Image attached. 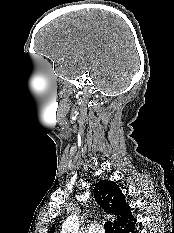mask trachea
<instances>
[{"mask_svg":"<svg viewBox=\"0 0 174 233\" xmlns=\"http://www.w3.org/2000/svg\"><path fill=\"white\" fill-rule=\"evenodd\" d=\"M105 232L106 233H113V226L111 221H107L104 224Z\"/></svg>","mask_w":174,"mask_h":233,"instance_id":"trachea-1","label":"trachea"}]
</instances>
